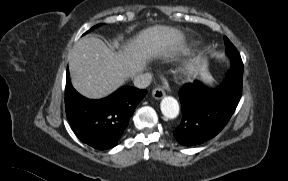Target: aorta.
Segmentation results:
<instances>
[{"label":"aorta","mask_w":288,"mask_h":181,"mask_svg":"<svg viewBox=\"0 0 288 181\" xmlns=\"http://www.w3.org/2000/svg\"><path fill=\"white\" fill-rule=\"evenodd\" d=\"M162 114L169 119H174L179 114V104L177 100L171 96H166L160 104Z\"/></svg>","instance_id":"1"}]
</instances>
